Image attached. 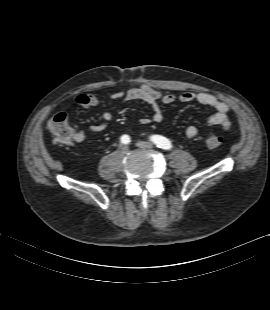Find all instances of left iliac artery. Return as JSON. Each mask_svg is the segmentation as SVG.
Wrapping results in <instances>:
<instances>
[{"mask_svg": "<svg viewBox=\"0 0 270 310\" xmlns=\"http://www.w3.org/2000/svg\"><path fill=\"white\" fill-rule=\"evenodd\" d=\"M151 141L159 148H162L164 150H169L172 148V144L171 142L163 137V136H160V135H154L151 137Z\"/></svg>", "mask_w": 270, "mask_h": 310, "instance_id": "44dca946", "label": "left iliac artery"}]
</instances>
